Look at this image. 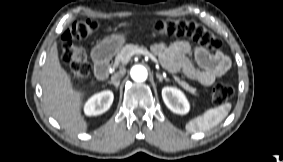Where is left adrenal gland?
<instances>
[{
    "label": "left adrenal gland",
    "instance_id": "obj_1",
    "mask_svg": "<svg viewBox=\"0 0 283 162\" xmlns=\"http://www.w3.org/2000/svg\"><path fill=\"white\" fill-rule=\"evenodd\" d=\"M156 76H157V78L159 79L160 82H162L163 80L169 81L168 78L163 77V76H162L161 74H159V73H156Z\"/></svg>",
    "mask_w": 283,
    "mask_h": 162
}]
</instances>
